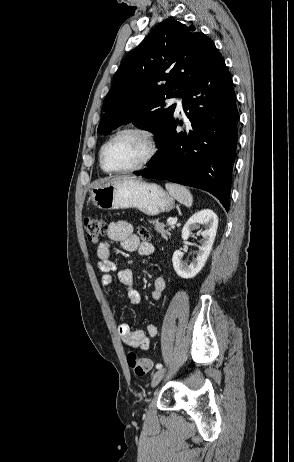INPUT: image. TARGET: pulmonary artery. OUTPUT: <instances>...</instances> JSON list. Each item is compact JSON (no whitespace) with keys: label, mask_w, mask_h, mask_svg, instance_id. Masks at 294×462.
<instances>
[{"label":"pulmonary artery","mask_w":294,"mask_h":462,"mask_svg":"<svg viewBox=\"0 0 294 462\" xmlns=\"http://www.w3.org/2000/svg\"><path fill=\"white\" fill-rule=\"evenodd\" d=\"M169 103L176 105V112L181 113L183 111V103L180 97H174L169 100Z\"/></svg>","instance_id":"e3ab8cb5"}]
</instances>
